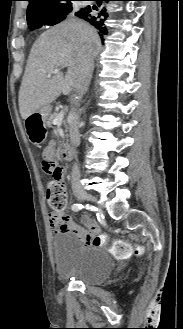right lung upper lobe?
<instances>
[{
  "mask_svg": "<svg viewBox=\"0 0 183 329\" xmlns=\"http://www.w3.org/2000/svg\"><path fill=\"white\" fill-rule=\"evenodd\" d=\"M27 10L28 24L32 22H44L56 14V9L72 0H28Z\"/></svg>",
  "mask_w": 183,
  "mask_h": 329,
  "instance_id": "obj_1",
  "label": "right lung upper lobe"
}]
</instances>
